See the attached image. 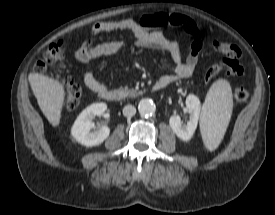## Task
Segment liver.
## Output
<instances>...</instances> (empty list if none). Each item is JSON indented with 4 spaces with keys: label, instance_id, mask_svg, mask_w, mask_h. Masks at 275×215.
<instances>
[{
    "label": "liver",
    "instance_id": "liver-1",
    "mask_svg": "<svg viewBox=\"0 0 275 215\" xmlns=\"http://www.w3.org/2000/svg\"><path fill=\"white\" fill-rule=\"evenodd\" d=\"M28 80L41 111L52 126H58L65 99L64 84L39 73H30Z\"/></svg>",
    "mask_w": 275,
    "mask_h": 215
}]
</instances>
